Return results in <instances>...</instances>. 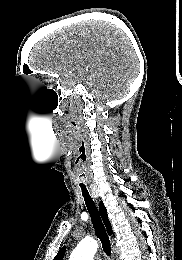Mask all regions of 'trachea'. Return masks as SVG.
Listing matches in <instances>:
<instances>
[{"label":"trachea","instance_id":"1","mask_svg":"<svg viewBox=\"0 0 182 260\" xmlns=\"http://www.w3.org/2000/svg\"><path fill=\"white\" fill-rule=\"evenodd\" d=\"M81 190H82V195L84 197L87 210H88L91 220H92L95 234L99 238L104 252L108 256H110L111 255L110 241L107 236V233H106L105 227L103 225V222L101 220L98 209H97L94 201L92 200L91 196L89 195L88 190L85 187H81Z\"/></svg>","mask_w":182,"mask_h":260}]
</instances>
